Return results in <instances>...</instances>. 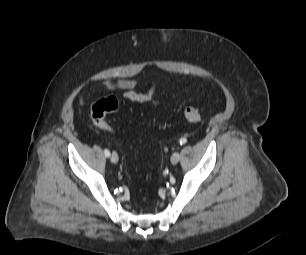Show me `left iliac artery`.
Here are the masks:
<instances>
[{"instance_id":"left-iliac-artery-1","label":"left iliac artery","mask_w":306,"mask_h":255,"mask_svg":"<svg viewBox=\"0 0 306 255\" xmlns=\"http://www.w3.org/2000/svg\"><path fill=\"white\" fill-rule=\"evenodd\" d=\"M186 142H187L186 138H181V139L179 140V143H180L181 145L185 144Z\"/></svg>"}]
</instances>
